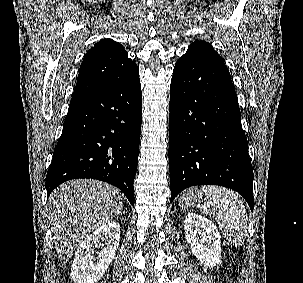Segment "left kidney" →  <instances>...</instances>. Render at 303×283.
Masks as SVG:
<instances>
[{"instance_id":"obj_1","label":"left kidney","mask_w":303,"mask_h":283,"mask_svg":"<svg viewBox=\"0 0 303 283\" xmlns=\"http://www.w3.org/2000/svg\"><path fill=\"white\" fill-rule=\"evenodd\" d=\"M185 237L193 255L205 266L212 268L221 262V238L214 223L195 213L184 221Z\"/></svg>"}]
</instances>
